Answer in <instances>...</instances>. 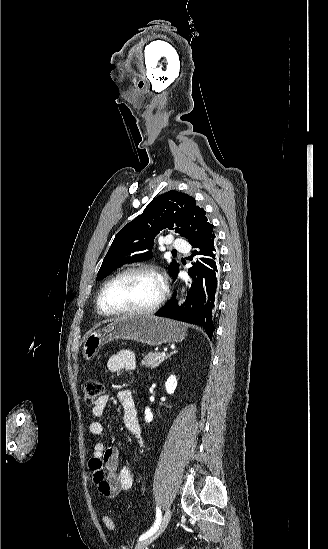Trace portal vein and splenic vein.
<instances>
[{"label":"portal vein and splenic vein","instance_id":"18ae733b","mask_svg":"<svg viewBox=\"0 0 328 549\" xmlns=\"http://www.w3.org/2000/svg\"><path fill=\"white\" fill-rule=\"evenodd\" d=\"M161 357H165V353H161Z\"/></svg>","mask_w":328,"mask_h":549}]
</instances>
